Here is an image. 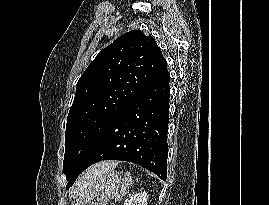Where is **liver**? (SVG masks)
I'll return each instance as SVG.
<instances>
[{"label":"liver","instance_id":"liver-1","mask_svg":"<svg viewBox=\"0 0 269 205\" xmlns=\"http://www.w3.org/2000/svg\"><path fill=\"white\" fill-rule=\"evenodd\" d=\"M117 166L116 162H100L89 168L84 174H82L75 184L73 190L75 196H83L88 188H90L97 178L101 177L103 174L114 170Z\"/></svg>","mask_w":269,"mask_h":205}]
</instances>
